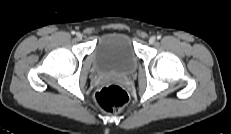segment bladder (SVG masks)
Masks as SVG:
<instances>
[{
  "mask_svg": "<svg viewBox=\"0 0 231 134\" xmlns=\"http://www.w3.org/2000/svg\"><path fill=\"white\" fill-rule=\"evenodd\" d=\"M93 56L95 68L102 73L128 74L134 70L138 60L132 37L121 31L100 36Z\"/></svg>",
  "mask_w": 231,
  "mask_h": 134,
  "instance_id": "bladder-1",
  "label": "bladder"
}]
</instances>
